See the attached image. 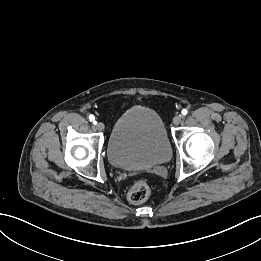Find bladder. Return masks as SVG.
<instances>
[{
	"label": "bladder",
	"instance_id": "31cf9c89",
	"mask_svg": "<svg viewBox=\"0 0 261 261\" xmlns=\"http://www.w3.org/2000/svg\"><path fill=\"white\" fill-rule=\"evenodd\" d=\"M171 142L159 114L133 106L115 121L107 143L109 162L124 170L149 168L169 161Z\"/></svg>",
	"mask_w": 261,
	"mask_h": 261
}]
</instances>
